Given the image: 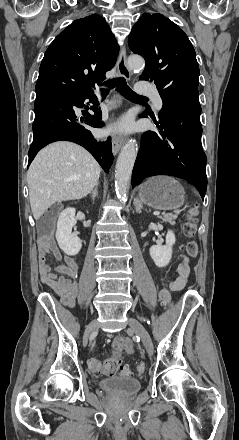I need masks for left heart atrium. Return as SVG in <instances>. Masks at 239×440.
<instances>
[{"label":"left heart atrium","instance_id":"1","mask_svg":"<svg viewBox=\"0 0 239 440\" xmlns=\"http://www.w3.org/2000/svg\"><path fill=\"white\" fill-rule=\"evenodd\" d=\"M132 128V121L128 118L121 120V122L115 127L118 130H130Z\"/></svg>","mask_w":239,"mask_h":440}]
</instances>
